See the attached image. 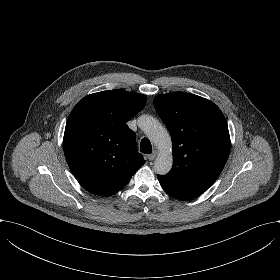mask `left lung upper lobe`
I'll list each match as a JSON object with an SVG mask.
<instances>
[{
	"mask_svg": "<svg viewBox=\"0 0 280 280\" xmlns=\"http://www.w3.org/2000/svg\"><path fill=\"white\" fill-rule=\"evenodd\" d=\"M154 106L173 144V167L158 176L159 182L174 198L198 197L215 182L228 159L226 119L213 102L185 92L158 95Z\"/></svg>",
	"mask_w": 280,
	"mask_h": 280,
	"instance_id": "5c2ea615",
	"label": "left lung upper lobe"
}]
</instances>
